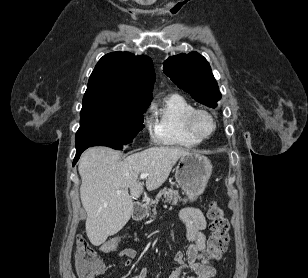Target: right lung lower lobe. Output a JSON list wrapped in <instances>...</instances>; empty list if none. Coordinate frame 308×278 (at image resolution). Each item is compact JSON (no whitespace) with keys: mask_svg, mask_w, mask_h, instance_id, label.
I'll return each instance as SVG.
<instances>
[{"mask_svg":"<svg viewBox=\"0 0 308 278\" xmlns=\"http://www.w3.org/2000/svg\"><path fill=\"white\" fill-rule=\"evenodd\" d=\"M87 148H88V147H84V148H79V149H77V151H76V156H75L74 161H73V165L76 164V162H77V160L79 159V157H80V155L82 154V152H83L85 149H87Z\"/></svg>","mask_w":308,"mask_h":278,"instance_id":"right-lung-lower-lobe-1","label":"right lung lower lobe"}]
</instances>
